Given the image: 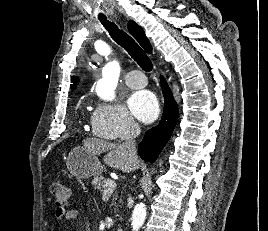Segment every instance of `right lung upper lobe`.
Wrapping results in <instances>:
<instances>
[{"label": "right lung upper lobe", "mask_w": 268, "mask_h": 231, "mask_svg": "<svg viewBox=\"0 0 268 231\" xmlns=\"http://www.w3.org/2000/svg\"><path fill=\"white\" fill-rule=\"evenodd\" d=\"M128 30L131 33V35L138 41V43L144 48V50L147 53L152 52V46L148 40V38L145 35L144 30L137 25L134 21H129L128 22ZM72 85L71 88L75 89L76 88V83L78 82V79H76L74 76L72 77Z\"/></svg>", "instance_id": "right-lung-upper-lobe-1"}]
</instances>
